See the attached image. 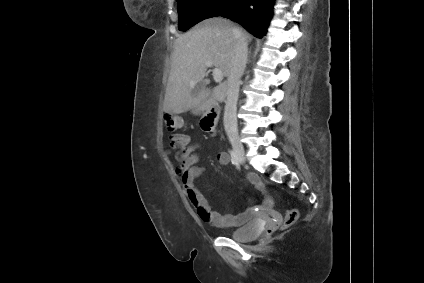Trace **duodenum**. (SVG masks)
I'll use <instances>...</instances> for the list:
<instances>
[{
	"mask_svg": "<svg viewBox=\"0 0 424 283\" xmlns=\"http://www.w3.org/2000/svg\"><path fill=\"white\" fill-rule=\"evenodd\" d=\"M219 121V108L212 104L208 107L202 122V129L208 133H215Z\"/></svg>",
	"mask_w": 424,
	"mask_h": 283,
	"instance_id": "duodenum-1",
	"label": "duodenum"
}]
</instances>
